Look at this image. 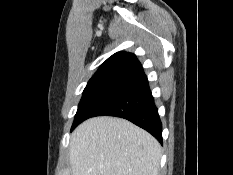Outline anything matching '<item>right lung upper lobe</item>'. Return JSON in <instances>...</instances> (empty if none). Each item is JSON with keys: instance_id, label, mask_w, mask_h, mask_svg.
I'll use <instances>...</instances> for the list:
<instances>
[{"instance_id": "1", "label": "right lung upper lobe", "mask_w": 233, "mask_h": 175, "mask_svg": "<svg viewBox=\"0 0 233 175\" xmlns=\"http://www.w3.org/2000/svg\"><path fill=\"white\" fill-rule=\"evenodd\" d=\"M144 75L141 64L134 54L117 52L99 67L91 79L116 76L136 80Z\"/></svg>"}]
</instances>
